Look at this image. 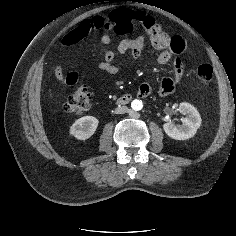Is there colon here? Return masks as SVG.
<instances>
[{
    "label": "colon",
    "instance_id": "obj_1",
    "mask_svg": "<svg viewBox=\"0 0 236 236\" xmlns=\"http://www.w3.org/2000/svg\"><path fill=\"white\" fill-rule=\"evenodd\" d=\"M150 19V16L142 12L118 9L112 12L107 18L97 16L83 22L67 36L72 43L81 41L91 31L97 30H112L117 35L126 36L142 28L145 29V24ZM164 34L166 35V33ZM196 74L199 82L207 85L212 81L213 69L209 64H202L197 68ZM66 82L68 84H74L75 78L68 76ZM90 101L91 92L89 88L81 85L66 99L64 109L69 113L81 115L89 109Z\"/></svg>",
    "mask_w": 236,
    "mask_h": 236
}]
</instances>
